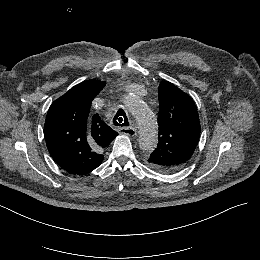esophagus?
Segmentation results:
<instances>
[{
    "instance_id": "34e87169",
    "label": "esophagus",
    "mask_w": 260,
    "mask_h": 260,
    "mask_svg": "<svg viewBox=\"0 0 260 260\" xmlns=\"http://www.w3.org/2000/svg\"><path fill=\"white\" fill-rule=\"evenodd\" d=\"M119 132L130 137H134L136 135V129L134 127H122L119 128Z\"/></svg>"
}]
</instances>
